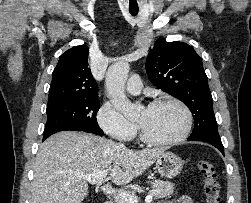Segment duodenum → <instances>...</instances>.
I'll return each mask as SVG.
<instances>
[{
	"label": "duodenum",
	"instance_id": "obj_1",
	"mask_svg": "<svg viewBox=\"0 0 251 203\" xmlns=\"http://www.w3.org/2000/svg\"><path fill=\"white\" fill-rule=\"evenodd\" d=\"M104 203H112V201H110V200H106Z\"/></svg>",
	"mask_w": 251,
	"mask_h": 203
}]
</instances>
